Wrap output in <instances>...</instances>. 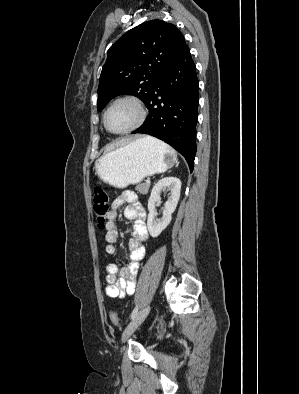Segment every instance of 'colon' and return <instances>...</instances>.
Listing matches in <instances>:
<instances>
[{
    "label": "colon",
    "instance_id": "obj_1",
    "mask_svg": "<svg viewBox=\"0 0 299 394\" xmlns=\"http://www.w3.org/2000/svg\"><path fill=\"white\" fill-rule=\"evenodd\" d=\"M93 208L98 225L104 226L109 213V195L108 192L101 186H96L94 188ZM110 319L115 326H118L119 317L117 312L112 311L110 314Z\"/></svg>",
    "mask_w": 299,
    "mask_h": 394
}]
</instances>
